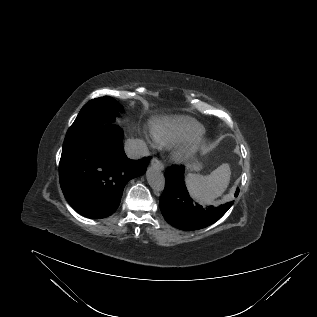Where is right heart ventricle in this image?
Wrapping results in <instances>:
<instances>
[{
	"mask_svg": "<svg viewBox=\"0 0 317 317\" xmlns=\"http://www.w3.org/2000/svg\"><path fill=\"white\" fill-rule=\"evenodd\" d=\"M203 131V127L189 117H160L151 122L152 139L156 144L166 147L196 139Z\"/></svg>",
	"mask_w": 317,
	"mask_h": 317,
	"instance_id": "obj_1",
	"label": "right heart ventricle"
}]
</instances>
